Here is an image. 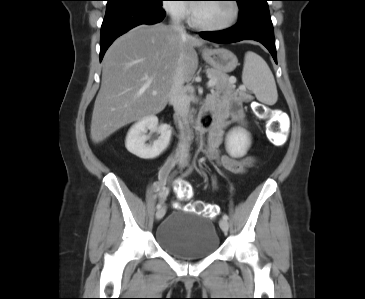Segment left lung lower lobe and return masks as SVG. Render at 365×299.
<instances>
[{
	"mask_svg": "<svg viewBox=\"0 0 365 299\" xmlns=\"http://www.w3.org/2000/svg\"><path fill=\"white\" fill-rule=\"evenodd\" d=\"M239 9L237 25L222 31L201 32L200 36L217 43L258 41L269 50L277 63L274 31L267 0H254Z\"/></svg>",
	"mask_w": 365,
	"mask_h": 299,
	"instance_id": "obj_1",
	"label": "left lung lower lobe"
}]
</instances>
